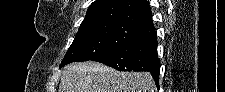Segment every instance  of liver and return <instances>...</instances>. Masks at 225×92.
<instances>
[{"instance_id": "6515ba94", "label": "liver", "mask_w": 225, "mask_h": 92, "mask_svg": "<svg viewBox=\"0 0 225 92\" xmlns=\"http://www.w3.org/2000/svg\"><path fill=\"white\" fill-rule=\"evenodd\" d=\"M59 92H156L149 72H119L87 61L64 67Z\"/></svg>"}]
</instances>
